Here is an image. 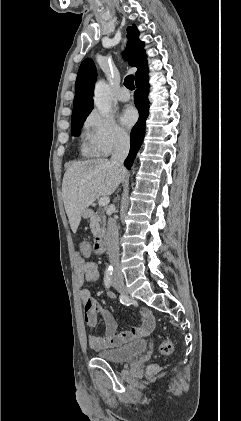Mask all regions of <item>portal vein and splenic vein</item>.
<instances>
[{"mask_svg":"<svg viewBox=\"0 0 241 421\" xmlns=\"http://www.w3.org/2000/svg\"><path fill=\"white\" fill-rule=\"evenodd\" d=\"M109 202H110V198L108 196H104L99 199L98 204L100 207H104V206H107Z\"/></svg>","mask_w":241,"mask_h":421,"instance_id":"portal-vein-and-splenic-vein-1","label":"portal vein and splenic vein"}]
</instances>
